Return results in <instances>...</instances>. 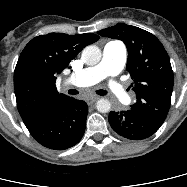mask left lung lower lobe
<instances>
[{"instance_id":"0a47b994","label":"left lung lower lobe","mask_w":187,"mask_h":187,"mask_svg":"<svg viewBox=\"0 0 187 187\" xmlns=\"http://www.w3.org/2000/svg\"><path fill=\"white\" fill-rule=\"evenodd\" d=\"M109 123L116 133L131 140L145 139L153 135L162 125L132 110L111 111Z\"/></svg>"}]
</instances>
